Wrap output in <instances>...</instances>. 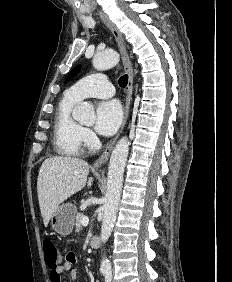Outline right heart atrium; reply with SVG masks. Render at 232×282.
<instances>
[{
  "mask_svg": "<svg viewBox=\"0 0 232 282\" xmlns=\"http://www.w3.org/2000/svg\"><path fill=\"white\" fill-rule=\"evenodd\" d=\"M82 135H83V142L87 146H93L97 141V138L94 135V133L88 128H83Z\"/></svg>",
  "mask_w": 232,
  "mask_h": 282,
  "instance_id": "obj_1",
  "label": "right heart atrium"
}]
</instances>
